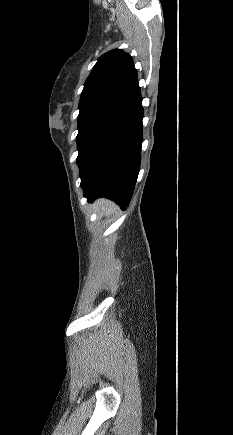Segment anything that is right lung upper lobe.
Wrapping results in <instances>:
<instances>
[{"instance_id": "right-lung-upper-lobe-1", "label": "right lung upper lobe", "mask_w": 233, "mask_h": 435, "mask_svg": "<svg viewBox=\"0 0 233 435\" xmlns=\"http://www.w3.org/2000/svg\"><path fill=\"white\" fill-rule=\"evenodd\" d=\"M142 102L132 57L121 49L102 55L85 81L79 116L113 113L125 116Z\"/></svg>"}]
</instances>
